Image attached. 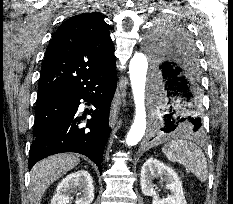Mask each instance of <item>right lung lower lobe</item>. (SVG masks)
<instances>
[{"label": "right lung lower lobe", "mask_w": 233, "mask_h": 204, "mask_svg": "<svg viewBox=\"0 0 233 204\" xmlns=\"http://www.w3.org/2000/svg\"><path fill=\"white\" fill-rule=\"evenodd\" d=\"M116 68L85 83L63 96L65 117L46 134L34 139L29 152V170L39 160L57 153L76 152L89 157L101 171V162L109 127V110L116 85ZM80 99L91 102L95 110L89 113L86 127H78Z\"/></svg>", "instance_id": "right-lung-lower-lobe-1"}]
</instances>
